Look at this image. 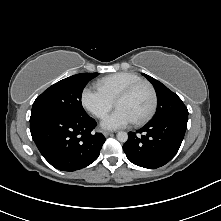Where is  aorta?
<instances>
[{"instance_id": "762f6f07", "label": "aorta", "mask_w": 221, "mask_h": 221, "mask_svg": "<svg viewBox=\"0 0 221 221\" xmlns=\"http://www.w3.org/2000/svg\"><path fill=\"white\" fill-rule=\"evenodd\" d=\"M117 139L118 141H120L121 143H125L128 140V134L127 132L124 131H119L117 133Z\"/></svg>"}]
</instances>
